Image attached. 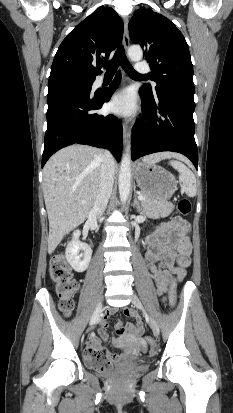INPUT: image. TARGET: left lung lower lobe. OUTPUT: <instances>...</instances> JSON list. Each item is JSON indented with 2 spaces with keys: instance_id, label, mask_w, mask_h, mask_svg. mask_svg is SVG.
Here are the masks:
<instances>
[{
  "instance_id": "obj_1",
  "label": "left lung lower lobe",
  "mask_w": 233,
  "mask_h": 413,
  "mask_svg": "<svg viewBox=\"0 0 233 413\" xmlns=\"http://www.w3.org/2000/svg\"><path fill=\"white\" fill-rule=\"evenodd\" d=\"M142 118L133 127L131 156L161 151L188 157L197 169L198 150L194 139V99L173 90H160L153 97L140 89Z\"/></svg>"
}]
</instances>
